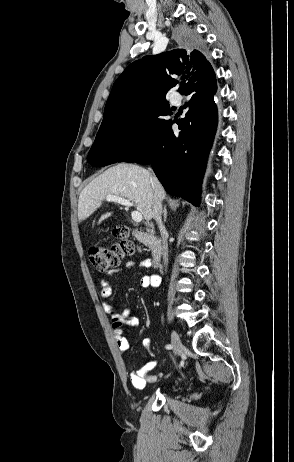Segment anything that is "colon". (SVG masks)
Wrapping results in <instances>:
<instances>
[{"label": "colon", "instance_id": "1", "mask_svg": "<svg viewBox=\"0 0 294 462\" xmlns=\"http://www.w3.org/2000/svg\"><path fill=\"white\" fill-rule=\"evenodd\" d=\"M113 238L115 241L109 248L95 244L89 250L90 261L98 271L104 272L113 269L122 257L135 252V245L128 239L127 229L116 228L113 231ZM113 326H121V323L115 320Z\"/></svg>", "mask_w": 294, "mask_h": 462}]
</instances>
